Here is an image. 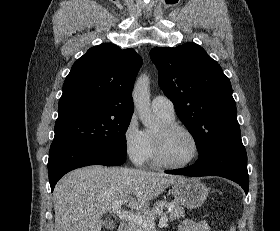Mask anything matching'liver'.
Listing matches in <instances>:
<instances>
[{
    "label": "liver",
    "mask_w": 280,
    "mask_h": 231,
    "mask_svg": "<svg viewBox=\"0 0 280 231\" xmlns=\"http://www.w3.org/2000/svg\"><path fill=\"white\" fill-rule=\"evenodd\" d=\"M179 175L132 167L88 165L66 173L54 189L55 231H101L103 213L121 207L147 211L151 199Z\"/></svg>",
    "instance_id": "liver-1"
}]
</instances>
